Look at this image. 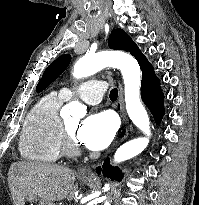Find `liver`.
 <instances>
[{"instance_id":"1","label":"liver","mask_w":199,"mask_h":205,"mask_svg":"<svg viewBox=\"0 0 199 205\" xmlns=\"http://www.w3.org/2000/svg\"><path fill=\"white\" fill-rule=\"evenodd\" d=\"M75 172L44 162H15L8 172V184L15 205H24L28 195L50 202L72 200L78 189Z\"/></svg>"}]
</instances>
